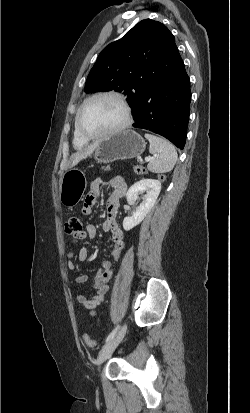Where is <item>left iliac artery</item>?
<instances>
[{
  "mask_svg": "<svg viewBox=\"0 0 250 413\" xmlns=\"http://www.w3.org/2000/svg\"><path fill=\"white\" fill-rule=\"evenodd\" d=\"M118 329H119V325L116 326L115 329L108 335V337L106 338V343L110 341L116 335Z\"/></svg>",
  "mask_w": 250,
  "mask_h": 413,
  "instance_id": "1",
  "label": "left iliac artery"
}]
</instances>
